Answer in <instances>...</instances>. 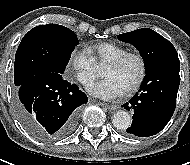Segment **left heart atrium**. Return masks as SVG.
<instances>
[{"label": "left heart atrium", "mask_w": 190, "mask_h": 165, "mask_svg": "<svg viewBox=\"0 0 190 165\" xmlns=\"http://www.w3.org/2000/svg\"><path fill=\"white\" fill-rule=\"evenodd\" d=\"M88 91L90 94L103 99H113L124 93V89L113 78H106L91 85Z\"/></svg>", "instance_id": "1"}]
</instances>
